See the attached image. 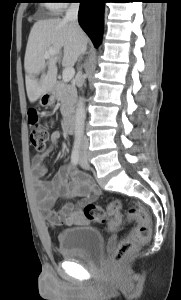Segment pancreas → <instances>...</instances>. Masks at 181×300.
<instances>
[{
    "label": "pancreas",
    "mask_w": 181,
    "mask_h": 300,
    "mask_svg": "<svg viewBox=\"0 0 181 300\" xmlns=\"http://www.w3.org/2000/svg\"><path fill=\"white\" fill-rule=\"evenodd\" d=\"M56 98L61 102V114L64 118L72 114L76 103L77 91L74 84L59 81L55 86Z\"/></svg>",
    "instance_id": "obj_1"
}]
</instances>
